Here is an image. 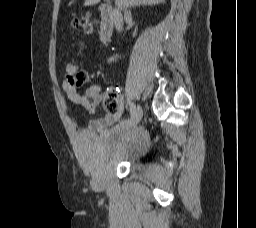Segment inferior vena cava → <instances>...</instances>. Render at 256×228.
<instances>
[{
	"label": "inferior vena cava",
	"instance_id": "obj_1",
	"mask_svg": "<svg viewBox=\"0 0 256 228\" xmlns=\"http://www.w3.org/2000/svg\"><path fill=\"white\" fill-rule=\"evenodd\" d=\"M113 16H114V24H115V27L118 31H121L122 30V27H123V18H122V14L119 12V10H114V13H113Z\"/></svg>",
	"mask_w": 256,
	"mask_h": 228
}]
</instances>
